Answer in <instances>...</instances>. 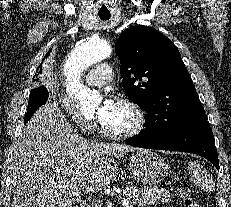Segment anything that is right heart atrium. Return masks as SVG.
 Returning <instances> with one entry per match:
<instances>
[{"mask_svg":"<svg viewBox=\"0 0 231 207\" xmlns=\"http://www.w3.org/2000/svg\"><path fill=\"white\" fill-rule=\"evenodd\" d=\"M58 108L69 115L75 125L84 132H93L96 124L93 118L87 117L79 107L68 97L63 96L57 100Z\"/></svg>","mask_w":231,"mask_h":207,"instance_id":"d8ad5b80","label":"right heart atrium"}]
</instances>
